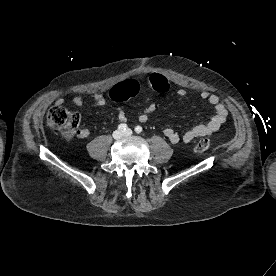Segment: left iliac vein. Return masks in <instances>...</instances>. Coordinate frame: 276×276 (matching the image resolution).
<instances>
[{"label": "left iliac vein", "instance_id": "obj_1", "mask_svg": "<svg viewBox=\"0 0 276 276\" xmlns=\"http://www.w3.org/2000/svg\"><path fill=\"white\" fill-rule=\"evenodd\" d=\"M132 134V130L131 129H127L126 131L123 132L124 136H129Z\"/></svg>", "mask_w": 276, "mask_h": 276}]
</instances>
